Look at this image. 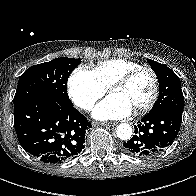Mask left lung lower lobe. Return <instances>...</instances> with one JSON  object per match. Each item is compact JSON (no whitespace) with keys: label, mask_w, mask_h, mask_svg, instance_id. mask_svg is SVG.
I'll list each match as a JSON object with an SVG mask.
<instances>
[{"label":"left lung lower lobe","mask_w":196,"mask_h":196,"mask_svg":"<svg viewBox=\"0 0 196 196\" xmlns=\"http://www.w3.org/2000/svg\"><path fill=\"white\" fill-rule=\"evenodd\" d=\"M182 114L159 110L149 112L134 126L133 137L123 144V150L135 157H152L169 147L178 135Z\"/></svg>","instance_id":"0a47b994"}]
</instances>
